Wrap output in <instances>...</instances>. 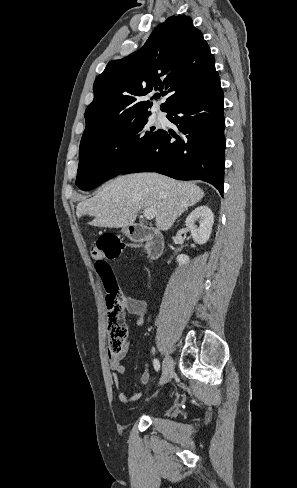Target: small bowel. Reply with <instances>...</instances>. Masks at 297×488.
Returning <instances> with one entry per match:
<instances>
[{
    "instance_id": "obj_1",
    "label": "small bowel",
    "mask_w": 297,
    "mask_h": 488,
    "mask_svg": "<svg viewBox=\"0 0 297 488\" xmlns=\"http://www.w3.org/2000/svg\"><path fill=\"white\" fill-rule=\"evenodd\" d=\"M126 310L133 314L136 317L137 325L142 326L144 324V317L146 312V302L142 299H138L129 295H123ZM128 342L124 343L122 351L117 354L113 355L109 353V365L112 371V379L115 389L117 391V396L120 402L124 404H129L139 400L142 396L141 392L135 393L131 396H127L121 389L119 376L126 373V367L122 365L121 361L125 358L128 352ZM150 378V373L148 369H144L141 377L140 383L145 385Z\"/></svg>"
}]
</instances>
